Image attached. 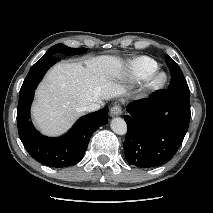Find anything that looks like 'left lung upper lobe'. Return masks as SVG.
<instances>
[{
  "mask_svg": "<svg viewBox=\"0 0 213 213\" xmlns=\"http://www.w3.org/2000/svg\"><path fill=\"white\" fill-rule=\"evenodd\" d=\"M165 58L171 72V82L168 89L189 94V87L181 69L168 55H165Z\"/></svg>",
  "mask_w": 213,
  "mask_h": 213,
  "instance_id": "5c2ea615",
  "label": "left lung upper lobe"
}]
</instances>
